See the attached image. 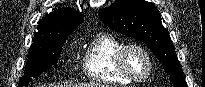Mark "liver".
I'll return each mask as SVG.
<instances>
[{
  "label": "liver",
  "mask_w": 205,
  "mask_h": 87,
  "mask_svg": "<svg viewBox=\"0 0 205 87\" xmlns=\"http://www.w3.org/2000/svg\"><path fill=\"white\" fill-rule=\"evenodd\" d=\"M57 87H108L107 85H102L98 82H91V83H85V84H61Z\"/></svg>",
  "instance_id": "obj_1"
}]
</instances>
